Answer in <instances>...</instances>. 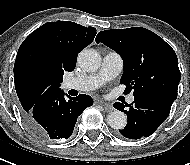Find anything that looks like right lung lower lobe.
<instances>
[{"label":"right lung lower lobe","mask_w":190,"mask_h":165,"mask_svg":"<svg viewBox=\"0 0 190 165\" xmlns=\"http://www.w3.org/2000/svg\"><path fill=\"white\" fill-rule=\"evenodd\" d=\"M66 96L59 88L54 89L42 94L29 110H22L24 122L39 138H69L78 116L93 104L89 95Z\"/></svg>","instance_id":"right-lung-lower-lobe-1"}]
</instances>
